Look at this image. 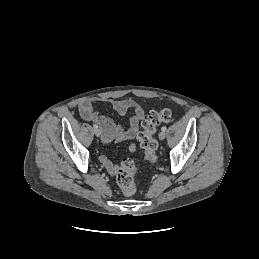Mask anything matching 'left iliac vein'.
Returning <instances> with one entry per match:
<instances>
[{"instance_id":"obj_1","label":"left iliac vein","mask_w":259,"mask_h":259,"mask_svg":"<svg viewBox=\"0 0 259 259\" xmlns=\"http://www.w3.org/2000/svg\"><path fill=\"white\" fill-rule=\"evenodd\" d=\"M158 137H159L160 140H164L165 137H166L165 132H164V131H161V132L159 133Z\"/></svg>"}]
</instances>
